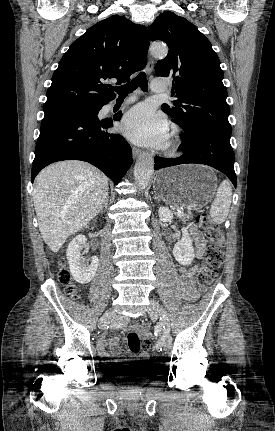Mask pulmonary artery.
Wrapping results in <instances>:
<instances>
[{"label": "pulmonary artery", "mask_w": 275, "mask_h": 431, "mask_svg": "<svg viewBox=\"0 0 275 431\" xmlns=\"http://www.w3.org/2000/svg\"><path fill=\"white\" fill-rule=\"evenodd\" d=\"M151 89L153 92L162 93L167 90L166 84L161 80H154L151 84ZM135 101L134 97H130L124 101V104H130ZM114 104H111L110 107H113Z\"/></svg>", "instance_id": "pulmonary-artery-1"}]
</instances>
